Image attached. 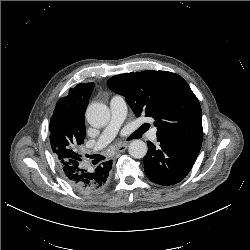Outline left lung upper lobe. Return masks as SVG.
<instances>
[{
	"label": "left lung upper lobe",
	"instance_id": "left-lung-upper-lobe-1",
	"mask_svg": "<svg viewBox=\"0 0 250 250\" xmlns=\"http://www.w3.org/2000/svg\"><path fill=\"white\" fill-rule=\"evenodd\" d=\"M109 88L123 95L135 115L152 117L157 138L202 143V113L187 82L167 71L125 73L108 80Z\"/></svg>",
	"mask_w": 250,
	"mask_h": 250
}]
</instances>
